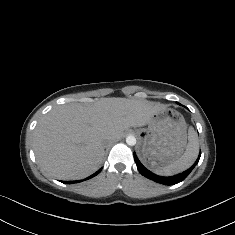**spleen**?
I'll list each match as a JSON object with an SVG mask.
<instances>
[{
  "instance_id": "1",
  "label": "spleen",
  "mask_w": 235,
  "mask_h": 235,
  "mask_svg": "<svg viewBox=\"0 0 235 235\" xmlns=\"http://www.w3.org/2000/svg\"><path fill=\"white\" fill-rule=\"evenodd\" d=\"M198 139L196 132L192 127L189 128V142L184 154L178 159L154 169V172L159 175H172L189 168L198 155Z\"/></svg>"
}]
</instances>
